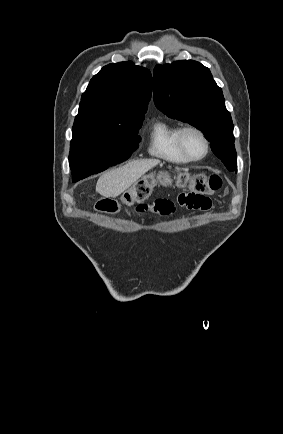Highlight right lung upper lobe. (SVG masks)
<instances>
[{
  "mask_svg": "<svg viewBox=\"0 0 283 434\" xmlns=\"http://www.w3.org/2000/svg\"><path fill=\"white\" fill-rule=\"evenodd\" d=\"M152 93L148 69L132 62L104 66L82 94L74 124L128 123L144 119Z\"/></svg>",
  "mask_w": 283,
  "mask_h": 434,
  "instance_id": "obj_1",
  "label": "right lung upper lobe"
}]
</instances>
